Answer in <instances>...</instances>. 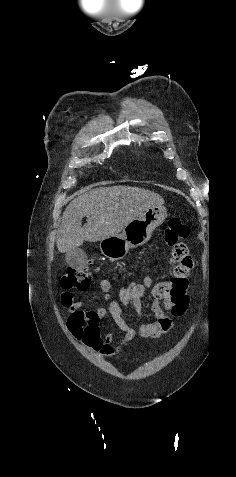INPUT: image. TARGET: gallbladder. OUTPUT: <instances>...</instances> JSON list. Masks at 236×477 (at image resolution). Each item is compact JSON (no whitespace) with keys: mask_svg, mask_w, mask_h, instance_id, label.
Here are the masks:
<instances>
[{"mask_svg":"<svg viewBox=\"0 0 236 477\" xmlns=\"http://www.w3.org/2000/svg\"><path fill=\"white\" fill-rule=\"evenodd\" d=\"M65 259L70 266L74 268H81L84 266L87 256L82 249L74 248L66 253Z\"/></svg>","mask_w":236,"mask_h":477,"instance_id":"obj_1","label":"gallbladder"}]
</instances>
